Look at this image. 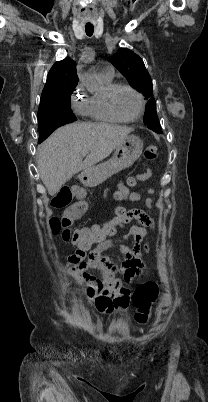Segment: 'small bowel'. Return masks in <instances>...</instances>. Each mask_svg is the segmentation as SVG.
I'll list each match as a JSON object with an SVG mask.
<instances>
[{"label":"small bowel","instance_id":"c3829d8e","mask_svg":"<svg viewBox=\"0 0 208 402\" xmlns=\"http://www.w3.org/2000/svg\"><path fill=\"white\" fill-rule=\"evenodd\" d=\"M152 171L150 168H146L145 171L137 174L136 178L139 181H146L151 177ZM118 189L123 193L124 197L132 202L139 201L141 195L138 192L129 191L124 183L121 181L118 185ZM152 193V190L149 191ZM147 204H151V200L147 199ZM128 218L123 223L126 225L131 220L139 221L144 227L132 226L128 229L122 243L117 245L126 261L120 267L114 265L109 258L104 254V251L108 249L112 243V236H102L99 238L96 248L88 253V262L81 261L79 267H69V276L76 282L86 285L85 295L91 299L96 296H108L116 300V305H124L126 303V294L129 292L127 282L132 281L137 275L141 273V268L144 266V258L147 254L148 246L140 249L139 245L143 242L147 236L148 231L146 228L152 231L156 230L154 221L142 210L131 209L127 211ZM103 225V224H102ZM101 226V231L111 232L115 230V227H120V222H115L111 226ZM101 235V234H97ZM104 235V234H103ZM133 240L135 249L129 248L126 243ZM82 259V258H81ZM89 266H97L104 273V279L101 281L95 276L87 272Z\"/></svg>","mask_w":208,"mask_h":402}]
</instances>
